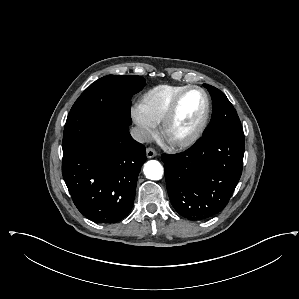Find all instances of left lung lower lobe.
I'll return each instance as SVG.
<instances>
[{"label": "left lung lower lobe", "mask_w": 299, "mask_h": 299, "mask_svg": "<svg viewBox=\"0 0 299 299\" xmlns=\"http://www.w3.org/2000/svg\"><path fill=\"white\" fill-rule=\"evenodd\" d=\"M244 135L219 131L203 135L183 153L162 155L170 201L191 220H204L229 202L241 177Z\"/></svg>", "instance_id": "0a47b994"}]
</instances>
